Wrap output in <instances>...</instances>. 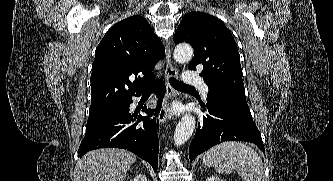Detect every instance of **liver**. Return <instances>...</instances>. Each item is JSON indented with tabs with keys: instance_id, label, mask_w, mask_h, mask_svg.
Masks as SVG:
<instances>
[{
	"instance_id": "liver-1",
	"label": "liver",
	"mask_w": 333,
	"mask_h": 181,
	"mask_svg": "<svg viewBox=\"0 0 333 181\" xmlns=\"http://www.w3.org/2000/svg\"><path fill=\"white\" fill-rule=\"evenodd\" d=\"M136 155L119 148H101L86 153L77 163V181H124Z\"/></svg>"
}]
</instances>
